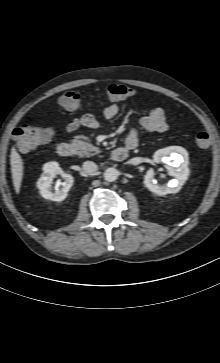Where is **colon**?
Here are the masks:
<instances>
[{"label":"colon","mask_w":220,"mask_h":363,"mask_svg":"<svg viewBox=\"0 0 220 363\" xmlns=\"http://www.w3.org/2000/svg\"><path fill=\"white\" fill-rule=\"evenodd\" d=\"M137 91L125 84H112L106 88L105 95L108 101H120L135 96ZM61 107L74 110L81 104V96L77 91L70 90L59 98ZM53 136V131L47 127L37 125L31 119L19 124L13 131L14 143L18 150L29 151L41 144L48 142ZM194 141L199 147H207L210 143L208 133L199 131L194 135Z\"/></svg>","instance_id":"1"}]
</instances>
